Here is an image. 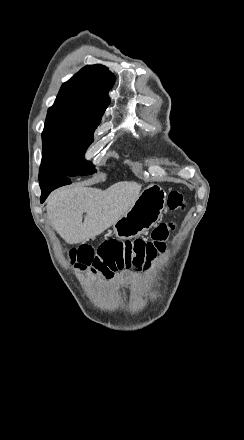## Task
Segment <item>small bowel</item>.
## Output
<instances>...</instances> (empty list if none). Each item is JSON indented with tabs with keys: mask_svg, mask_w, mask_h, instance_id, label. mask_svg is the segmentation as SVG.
<instances>
[{
	"mask_svg": "<svg viewBox=\"0 0 244 440\" xmlns=\"http://www.w3.org/2000/svg\"><path fill=\"white\" fill-rule=\"evenodd\" d=\"M131 277H132V274H130V273H124V274H122V275L120 276V279H129V278H131ZM113 286H114L113 284L109 285V286L107 287V290L112 289Z\"/></svg>",
	"mask_w": 244,
	"mask_h": 440,
	"instance_id": "1",
	"label": "small bowel"
}]
</instances>
